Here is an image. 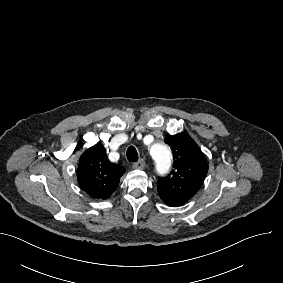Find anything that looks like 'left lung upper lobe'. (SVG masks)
I'll return each instance as SVG.
<instances>
[{"instance_id":"5c2ea615","label":"left lung upper lobe","mask_w":283,"mask_h":283,"mask_svg":"<svg viewBox=\"0 0 283 283\" xmlns=\"http://www.w3.org/2000/svg\"><path fill=\"white\" fill-rule=\"evenodd\" d=\"M174 164L170 175L158 179V194L169 206L187 202L201 187L208 171L207 160L196 142L187 134L167 136Z\"/></svg>"}]
</instances>
